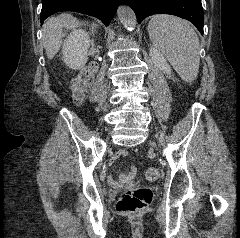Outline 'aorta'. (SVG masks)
<instances>
[{"label":"aorta","instance_id":"aorta-1","mask_svg":"<svg viewBox=\"0 0 240 238\" xmlns=\"http://www.w3.org/2000/svg\"><path fill=\"white\" fill-rule=\"evenodd\" d=\"M117 16L120 22L127 30H134L136 26V16L134 11L127 6H120L117 10Z\"/></svg>","mask_w":240,"mask_h":238}]
</instances>
